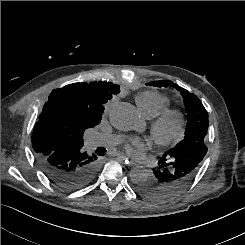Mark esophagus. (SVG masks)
Instances as JSON below:
<instances>
[{
    "label": "esophagus",
    "instance_id": "34e87169",
    "mask_svg": "<svg viewBox=\"0 0 245 245\" xmlns=\"http://www.w3.org/2000/svg\"><path fill=\"white\" fill-rule=\"evenodd\" d=\"M117 158L119 159V160H121V161H123L124 162V164L126 165V166H133L135 163L132 161V160H130L128 157H126L125 155H118L117 156Z\"/></svg>",
    "mask_w": 245,
    "mask_h": 245
}]
</instances>
